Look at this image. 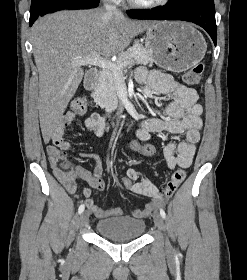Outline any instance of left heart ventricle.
<instances>
[{"label": "left heart ventricle", "instance_id": "1", "mask_svg": "<svg viewBox=\"0 0 247 280\" xmlns=\"http://www.w3.org/2000/svg\"><path fill=\"white\" fill-rule=\"evenodd\" d=\"M136 1L143 2V3H149V2H152V1H155V0H136Z\"/></svg>", "mask_w": 247, "mask_h": 280}]
</instances>
